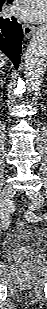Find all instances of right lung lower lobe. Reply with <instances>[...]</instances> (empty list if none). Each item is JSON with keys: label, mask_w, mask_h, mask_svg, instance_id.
<instances>
[{"label": "right lung lower lobe", "mask_w": 47, "mask_h": 309, "mask_svg": "<svg viewBox=\"0 0 47 309\" xmlns=\"http://www.w3.org/2000/svg\"><path fill=\"white\" fill-rule=\"evenodd\" d=\"M8 1L12 3L13 0ZM4 2V0H0V11ZM22 38L23 30L16 18H3L0 16V50L9 57L16 69L20 63Z\"/></svg>", "instance_id": "right-lung-lower-lobe-1"}]
</instances>
